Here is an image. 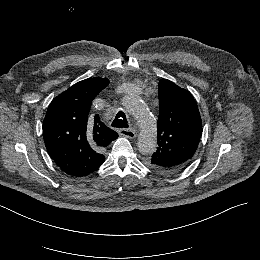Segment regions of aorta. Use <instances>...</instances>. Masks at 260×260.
I'll return each instance as SVG.
<instances>
[{"instance_id": "1", "label": "aorta", "mask_w": 260, "mask_h": 260, "mask_svg": "<svg viewBox=\"0 0 260 260\" xmlns=\"http://www.w3.org/2000/svg\"><path fill=\"white\" fill-rule=\"evenodd\" d=\"M124 108L139 122L141 132L137 142L143 155H151L157 147V121L150 113L144 101L136 94H127L122 99Z\"/></svg>"}]
</instances>
